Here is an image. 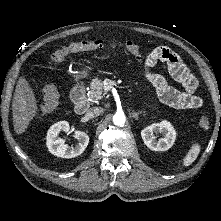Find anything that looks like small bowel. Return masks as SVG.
Here are the masks:
<instances>
[{"label":"small bowel","mask_w":221,"mask_h":221,"mask_svg":"<svg viewBox=\"0 0 221 221\" xmlns=\"http://www.w3.org/2000/svg\"><path fill=\"white\" fill-rule=\"evenodd\" d=\"M158 62L167 64L171 76L182 86V90L170 86L163 76L151 72ZM144 67L145 76L155 87L162 103L177 109H197L202 105L201 98L195 94L198 84L196 78L170 48L155 47L145 58Z\"/></svg>","instance_id":"c3829d8e"}]
</instances>
